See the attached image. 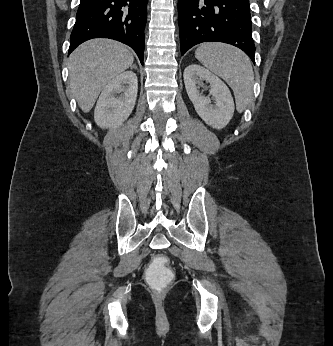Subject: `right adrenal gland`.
<instances>
[{
  "label": "right adrenal gland",
  "mask_w": 333,
  "mask_h": 346,
  "mask_svg": "<svg viewBox=\"0 0 333 346\" xmlns=\"http://www.w3.org/2000/svg\"><path fill=\"white\" fill-rule=\"evenodd\" d=\"M133 68H134V69H137L136 65H133V66L131 67V69H133Z\"/></svg>",
  "instance_id": "1"
}]
</instances>
